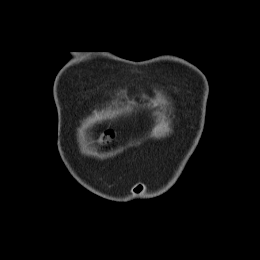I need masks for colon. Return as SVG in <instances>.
<instances>
[{
	"label": "colon",
	"instance_id": "1",
	"mask_svg": "<svg viewBox=\"0 0 260 260\" xmlns=\"http://www.w3.org/2000/svg\"><path fill=\"white\" fill-rule=\"evenodd\" d=\"M113 137H114L113 130L112 129H105L102 132L101 141L105 145V144H108L113 139Z\"/></svg>",
	"mask_w": 260,
	"mask_h": 260
}]
</instances>
